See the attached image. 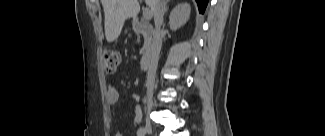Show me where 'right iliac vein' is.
I'll return each mask as SVG.
<instances>
[{"label": "right iliac vein", "instance_id": "1", "mask_svg": "<svg viewBox=\"0 0 325 136\" xmlns=\"http://www.w3.org/2000/svg\"><path fill=\"white\" fill-rule=\"evenodd\" d=\"M151 105H149L150 107ZM145 131L148 133V134H151L152 133V125L150 123V121H147L146 122V125H145Z\"/></svg>", "mask_w": 325, "mask_h": 136}]
</instances>
